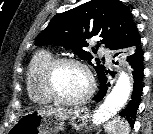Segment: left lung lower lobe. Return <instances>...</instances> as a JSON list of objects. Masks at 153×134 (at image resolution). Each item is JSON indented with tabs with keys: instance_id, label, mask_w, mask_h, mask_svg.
Returning <instances> with one entry per match:
<instances>
[{
	"instance_id": "left-lung-lower-lobe-1",
	"label": "left lung lower lobe",
	"mask_w": 153,
	"mask_h": 134,
	"mask_svg": "<svg viewBox=\"0 0 153 134\" xmlns=\"http://www.w3.org/2000/svg\"><path fill=\"white\" fill-rule=\"evenodd\" d=\"M140 43L134 48L132 54L127 57V61L129 62L132 68V74L134 78L133 92L131 95V100L129 101L126 108L121 112V116L125 117L131 127H133L135 122V117L137 113V109L139 107V103L141 101V95L143 90V76H144V67H143V51L140 46ZM117 64V62H116ZM108 71L105 70L103 74L99 77L100 89L97 95L93 98L96 101H101L106 95L107 89L110 84L107 81Z\"/></svg>"
}]
</instances>
